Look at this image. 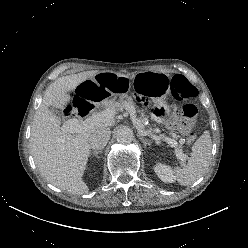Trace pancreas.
<instances>
[{"label": "pancreas", "mask_w": 248, "mask_h": 248, "mask_svg": "<svg viewBox=\"0 0 248 248\" xmlns=\"http://www.w3.org/2000/svg\"><path fill=\"white\" fill-rule=\"evenodd\" d=\"M112 106L119 108V109H125V110H127L128 106H131L135 110V102L133 101V99L131 97H126L125 99L121 98L119 102H113ZM147 119H148V117L146 115H141V117L139 118V120L141 121L142 124H144ZM171 140L175 141L174 139H171ZM175 153L176 154L183 153L182 147L178 146V144L176 146Z\"/></svg>", "instance_id": "1"}]
</instances>
